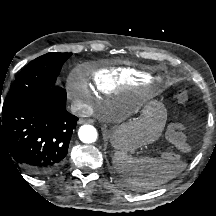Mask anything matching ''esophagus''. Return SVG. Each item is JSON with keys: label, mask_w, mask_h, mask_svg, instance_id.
I'll use <instances>...</instances> for the list:
<instances>
[{"label": "esophagus", "mask_w": 216, "mask_h": 216, "mask_svg": "<svg viewBox=\"0 0 216 216\" xmlns=\"http://www.w3.org/2000/svg\"><path fill=\"white\" fill-rule=\"evenodd\" d=\"M94 121L92 119H80L78 121L79 124H83V123H93Z\"/></svg>", "instance_id": "esophagus-1"}]
</instances>
